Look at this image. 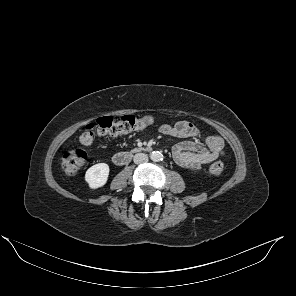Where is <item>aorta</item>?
Here are the masks:
<instances>
[{"mask_svg":"<svg viewBox=\"0 0 296 296\" xmlns=\"http://www.w3.org/2000/svg\"><path fill=\"white\" fill-rule=\"evenodd\" d=\"M150 158L152 161H155V162H159L163 159V154L161 152H158V151H153L151 154H150Z\"/></svg>","mask_w":296,"mask_h":296,"instance_id":"762f6f07","label":"aorta"}]
</instances>
